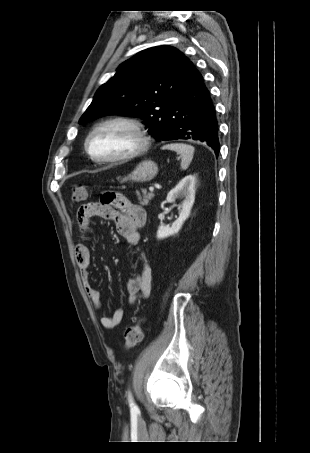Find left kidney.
Returning a JSON list of instances; mask_svg holds the SVG:
<instances>
[{
    "mask_svg": "<svg viewBox=\"0 0 310 453\" xmlns=\"http://www.w3.org/2000/svg\"><path fill=\"white\" fill-rule=\"evenodd\" d=\"M195 183L196 178L193 175L185 176L175 188L167 195L166 201L169 203L175 202L176 199H184L180 206L179 217L175 220L171 227L161 224L157 230V239L161 240L169 236L177 234L185 220L189 217L191 208L195 201Z\"/></svg>",
    "mask_w": 310,
    "mask_h": 453,
    "instance_id": "1",
    "label": "left kidney"
}]
</instances>
